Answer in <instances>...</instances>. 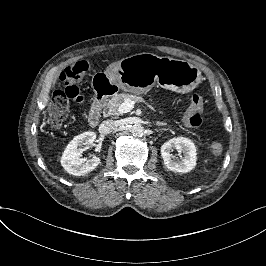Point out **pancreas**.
I'll return each instance as SVG.
<instances>
[{
	"mask_svg": "<svg viewBox=\"0 0 266 266\" xmlns=\"http://www.w3.org/2000/svg\"><path fill=\"white\" fill-rule=\"evenodd\" d=\"M126 99H129L131 101H133L136 105L137 104H148V101L142 97L139 96L138 94H123V95H119L117 98H115L114 100L110 101L108 104V109L110 111H112L114 113L116 107L123 101H125Z\"/></svg>",
	"mask_w": 266,
	"mask_h": 266,
	"instance_id": "1",
	"label": "pancreas"
}]
</instances>
